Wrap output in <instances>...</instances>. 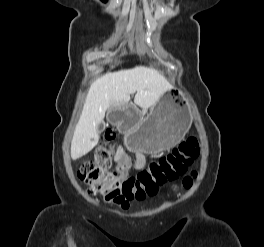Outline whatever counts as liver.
<instances>
[{"mask_svg": "<svg viewBox=\"0 0 264 247\" xmlns=\"http://www.w3.org/2000/svg\"><path fill=\"white\" fill-rule=\"evenodd\" d=\"M170 83L156 70L135 67L107 73L97 79L87 95L71 142V158L76 160L90 152L98 143V125L111 105L134 102L142 108L154 106L169 89Z\"/></svg>", "mask_w": 264, "mask_h": 247, "instance_id": "6515ba94", "label": "liver"}]
</instances>
